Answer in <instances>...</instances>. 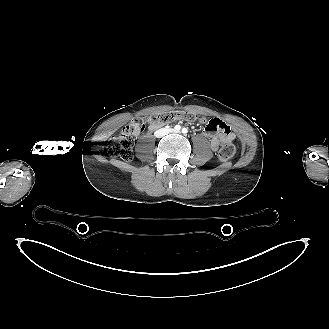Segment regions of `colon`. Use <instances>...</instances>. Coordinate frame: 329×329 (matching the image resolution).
<instances>
[{
  "label": "colon",
  "mask_w": 329,
  "mask_h": 329,
  "mask_svg": "<svg viewBox=\"0 0 329 329\" xmlns=\"http://www.w3.org/2000/svg\"><path fill=\"white\" fill-rule=\"evenodd\" d=\"M177 120H183L186 122H205V119L202 116L184 111H167L154 113L144 117H135L122 127L117 135H114L109 139L107 143L108 152L112 157L119 158L123 161H130L133 158V136L142 133L147 124L158 127ZM235 152V143L232 140H225L218 151V156L221 161L226 162L234 156Z\"/></svg>",
  "instance_id": "5ec220e1"
}]
</instances>
